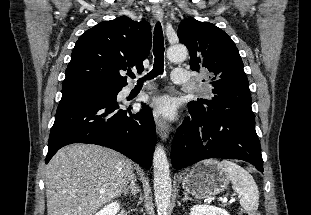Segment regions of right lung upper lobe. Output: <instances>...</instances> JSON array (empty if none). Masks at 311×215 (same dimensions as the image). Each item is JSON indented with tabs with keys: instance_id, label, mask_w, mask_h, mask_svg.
Returning a JSON list of instances; mask_svg holds the SVG:
<instances>
[{
	"instance_id": "1",
	"label": "right lung upper lobe",
	"mask_w": 311,
	"mask_h": 215,
	"mask_svg": "<svg viewBox=\"0 0 311 215\" xmlns=\"http://www.w3.org/2000/svg\"><path fill=\"white\" fill-rule=\"evenodd\" d=\"M151 48V27L127 16L100 22L77 40L66 69L63 86L76 83L122 88L127 85L121 70L143 71Z\"/></svg>"
}]
</instances>
